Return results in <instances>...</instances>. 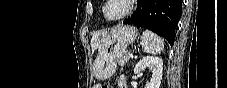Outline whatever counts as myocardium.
Instances as JSON below:
<instances>
[{
	"label": "myocardium",
	"instance_id": "1",
	"mask_svg": "<svg viewBox=\"0 0 227 88\" xmlns=\"http://www.w3.org/2000/svg\"><path fill=\"white\" fill-rule=\"evenodd\" d=\"M134 2H136V0H106L102 7V14L104 18L110 22L121 20L131 12ZM114 5L121 6L122 10L118 15L109 16L107 9Z\"/></svg>",
	"mask_w": 227,
	"mask_h": 88
}]
</instances>
